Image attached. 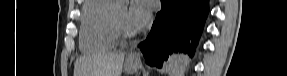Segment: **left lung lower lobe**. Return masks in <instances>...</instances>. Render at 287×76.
<instances>
[{
  "instance_id": "left-lung-lower-lobe-1",
  "label": "left lung lower lobe",
  "mask_w": 287,
  "mask_h": 76,
  "mask_svg": "<svg viewBox=\"0 0 287 76\" xmlns=\"http://www.w3.org/2000/svg\"><path fill=\"white\" fill-rule=\"evenodd\" d=\"M209 0H161L162 10L156 15L148 37L139 47L145 61L162 67L172 55L194 56L209 7Z\"/></svg>"
}]
</instances>
